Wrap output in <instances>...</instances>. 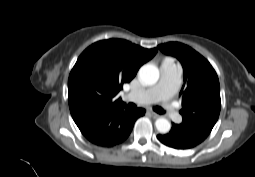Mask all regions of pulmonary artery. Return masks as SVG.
Listing matches in <instances>:
<instances>
[{"mask_svg":"<svg viewBox=\"0 0 255 177\" xmlns=\"http://www.w3.org/2000/svg\"><path fill=\"white\" fill-rule=\"evenodd\" d=\"M181 83V70L179 67L162 66L159 82L140 92H131L127 98L141 104L162 102L170 119L181 121V115L175 110L170 99L176 94Z\"/></svg>","mask_w":255,"mask_h":177,"instance_id":"pulmonary-artery-1","label":"pulmonary artery"}]
</instances>
